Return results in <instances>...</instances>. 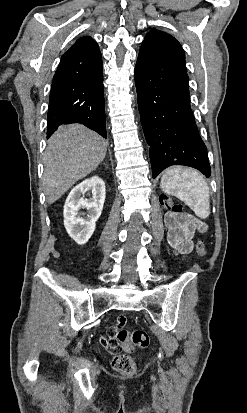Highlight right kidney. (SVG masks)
Here are the masks:
<instances>
[{"mask_svg": "<svg viewBox=\"0 0 247 413\" xmlns=\"http://www.w3.org/2000/svg\"><path fill=\"white\" fill-rule=\"evenodd\" d=\"M91 190V198H84L82 194ZM105 182L100 176L85 178L76 184L69 192L64 204V227L71 239L78 245H85L93 235L96 221L99 219L106 196ZM80 209H87V213H79ZM87 215V217H81Z\"/></svg>", "mask_w": 247, "mask_h": 413, "instance_id": "right-kidney-1", "label": "right kidney"}]
</instances>
